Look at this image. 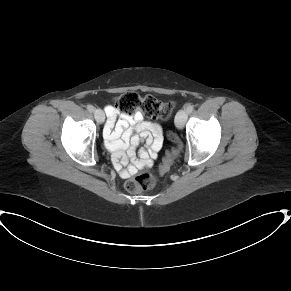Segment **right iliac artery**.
Instances as JSON below:
<instances>
[{
	"instance_id": "obj_1",
	"label": "right iliac artery",
	"mask_w": 291,
	"mask_h": 291,
	"mask_svg": "<svg viewBox=\"0 0 291 291\" xmlns=\"http://www.w3.org/2000/svg\"><path fill=\"white\" fill-rule=\"evenodd\" d=\"M87 109H88L90 112H93L95 108H94L92 105H88V106H87Z\"/></svg>"
}]
</instances>
